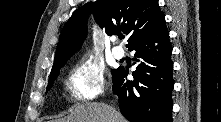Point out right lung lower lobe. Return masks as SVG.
<instances>
[{
    "label": "right lung lower lobe",
    "instance_id": "right-lung-lower-lobe-1",
    "mask_svg": "<svg viewBox=\"0 0 221 122\" xmlns=\"http://www.w3.org/2000/svg\"><path fill=\"white\" fill-rule=\"evenodd\" d=\"M129 50L136 51L135 81L125 80L122 67L112 75L122 115L130 122H172V47L165 20Z\"/></svg>",
    "mask_w": 221,
    "mask_h": 122
}]
</instances>
